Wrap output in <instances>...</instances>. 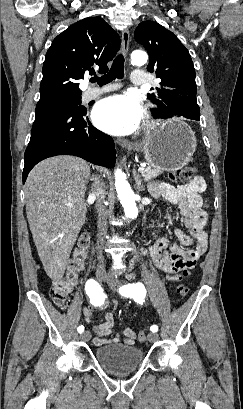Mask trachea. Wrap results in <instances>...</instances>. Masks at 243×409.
<instances>
[{
  "mask_svg": "<svg viewBox=\"0 0 243 409\" xmlns=\"http://www.w3.org/2000/svg\"><path fill=\"white\" fill-rule=\"evenodd\" d=\"M124 76V57L122 54H119L113 61L110 71L103 75L101 78L94 77L91 78V82H98L100 86L112 82L114 79H122Z\"/></svg>",
  "mask_w": 243,
  "mask_h": 409,
  "instance_id": "1",
  "label": "trachea"
}]
</instances>
